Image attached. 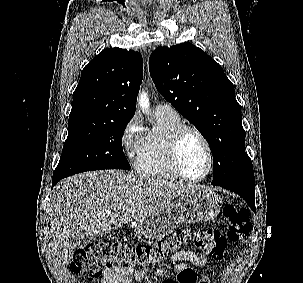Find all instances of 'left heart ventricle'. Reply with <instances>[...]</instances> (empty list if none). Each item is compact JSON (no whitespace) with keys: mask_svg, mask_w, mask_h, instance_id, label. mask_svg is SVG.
<instances>
[{"mask_svg":"<svg viewBox=\"0 0 303 283\" xmlns=\"http://www.w3.org/2000/svg\"><path fill=\"white\" fill-rule=\"evenodd\" d=\"M180 162L184 172L191 178L201 177L208 165L206 149L201 140L192 132H187L180 144Z\"/></svg>","mask_w":303,"mask_h":283,"instance_id":"left-heart-ventricle-1","label":"left heart ventricle"}]
</instances>
